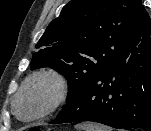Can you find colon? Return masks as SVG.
<instances>
[{
  "instance_id": "obj_1",
  "label": "colon",
  "mask_w": 151,
  "mask_h": 131,
  "mask_svg": "<svg viewBox=\"0 0 151 131\" xmlns=\"http://www.w3.org/2000/svg\"><path fill=\"white\" fill-rule=\"evenodd\" d=\"M24 131H42V130L36 126H32V127L26 128Z\"/></svg>"
}]
</instances>
